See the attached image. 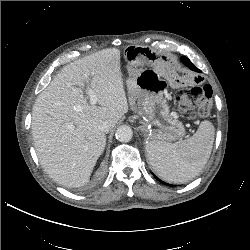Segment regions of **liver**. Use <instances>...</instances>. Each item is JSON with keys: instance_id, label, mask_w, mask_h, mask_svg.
I'll return each instance as SVG.
<instances>
[{"instance_id": "obj_1", "label": "liver", "mask_w": 250, "mask_h": 250, "mask_svg": "<svg viewBox=\"0 0 250 250\" xmlns=\"http://www.w3.org/2000/svg\"><path fill=\"white\" fill-rule=\"evenodd\" d=\"M85 84L100 106L88 101ZM127 111L118 49H103L65 66L38 95L32 111L34 147L45 172L65 187L87 184L106 145L99 125L106 121L113 128Z\"/></svg>"}]
</instances>
